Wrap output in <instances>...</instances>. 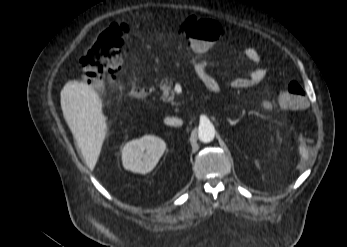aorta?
Segmentation results:
<instances>
[{
	"label": "aorta",
	"instance_id": "762f6f07",
	"mask_svg": "<svg viewBox=\"0 0 347 247\" xmlns=\"http://www.w3.org/2000/svg\"><path fill=\"white\" fill-rule=\"evenodd\" d=\"M199 139L204 143L211 142L215 137V129L211 123H203L199 126Z\"/></svg>",
	"mask_w": 347,
	"mask_h": 247
}]
</instances>
